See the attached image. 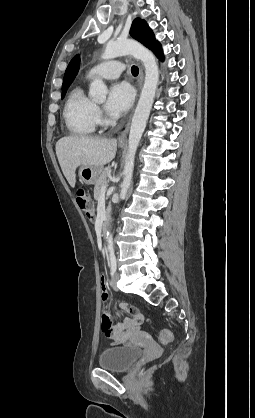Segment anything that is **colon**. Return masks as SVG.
Instances as JSON below:
<instances>
[{
  "instance_id": "colon-1",
  "label": "colon",
  "mask_w": 255,
  "mask_h": 418,
  "mask_svg": "<svg viewBox=\"0 0 255 418\" xmlns=\"http://www.w3.org/2000/svg\"><path fill=\"white\" fill-rule=\"evenodd\" d=\"M76 202H77L79 208L84 212L86 217L90 221H93L94 220L93 205H92V202H91L88 194L86 193V191L84 189L80 188L76 191ZM172 338H173L172 334L169 331H163L160 334V339L164 343H169L170 341H172Z\"/></svg>"
}]
</instances>
